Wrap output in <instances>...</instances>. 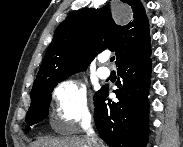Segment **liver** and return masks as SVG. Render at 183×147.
Instances as JSON below:
<instances>
[{
	"instance_id": "6515ba94",
	"label": "liver",
	"mask_w": 183,
	"mask_h": 147,
	"mask_svg": "<svg viewBox=\"0 0 183 147\" xmlns=\"http://www.w3.org/2000/svg\"><path fill=\"white\" fill-rule=\"evenodd\" d=\"M30 147H89L87 140L79 137L45 138L33 142Z\"/></svg>"
}]
</instances>
